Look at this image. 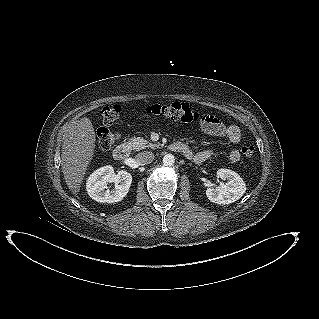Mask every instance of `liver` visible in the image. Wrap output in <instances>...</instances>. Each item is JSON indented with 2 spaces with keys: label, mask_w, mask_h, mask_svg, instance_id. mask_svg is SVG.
Listing matches in <instances>:
<instances>
[{
  "label": "liver",
  "mask_w": 319,
  "mask_h": 319,
  "mask_svg": "<svg viewBox=\"0 0 319 319\" xmlns=\"http://www.w3.org/2000/svg\"><path fill=\"white\" fill-rule=\"evenodd\" d=\"M95 141V131L87 117L75 120L66 127L61 166L66 184L73 194L80 191L85 172L94 154Z\"/></svg>",
  "instance_id": "1"
}]
</instances>
